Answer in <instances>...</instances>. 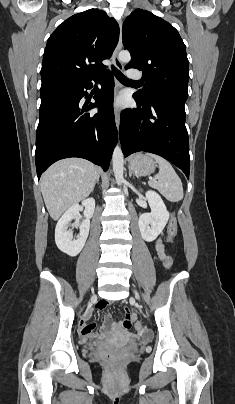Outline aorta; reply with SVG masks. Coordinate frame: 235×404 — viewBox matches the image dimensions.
I'll return each mask as SVG.
<instances>
[{
    "mask_svg": "<svg viewBox=\"0 0 235 404\" xmlns=\"http://www.w3.org/2000/svg\"><path fill=\"white\" fill-rule=\"evenodd\" d=\"M131 59L130 53L128 51H121L119 53V60L123 63H128ZM112 161H113V171L115 175V179L117 182V185L120 186L123 181V164H124V159H123V153L121 150V147L119 145H116L114 151H113V156H112Z\"/></svg>",
    "mask_w": 235,
    "mask_h": 404,
    "instance_id": "762f6f07",
    "label": "aorta"
}]
</instances>
